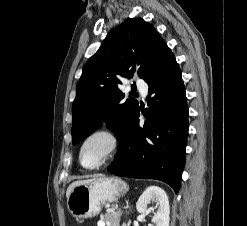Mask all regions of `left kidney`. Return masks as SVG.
Wrapping results in <instances>:
<instances>
[{
	"instance_id": "1",
	"label": "left kidney",
	"mask_w": 247,
	"mask_h": 226,
	"mask_svg": "<svg viewBox=\"0 0 247 226\" xmlns=\"http://www.w3.org/2000/svg\"><path fill=\"white\" fill-rule=\"evenodd\" d=\"M151 201L158 204V210L152 217V223H154L155 226H169L170 206L166 192L157 186L148 187L136 203L137 211L142 214L149 213L150 209H148L147 205L150 204Z\"/></svg>"
}]
</instances>
